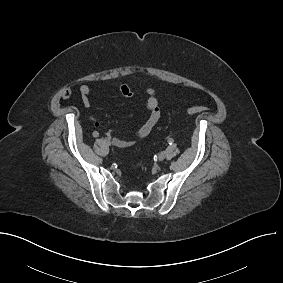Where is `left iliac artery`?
Listing matches in <instances>:
<instances>
[{
    "label": "left iliac artery",
    "mask_w": 283,
    "mask_h": 283,
    "mask_svg": "<svg viewBox=\"0 0 283 283\" xmlns=\"http://www.w3.org/2000/svg\"><path fill=\"white\" fill-rule=\"evenodd\" d=\"M173 142H174V140L172 139V138H169L168 139V143L171 145V144H173Z\"/></svg>",
    "instance_id": "44dca946"
}]
</instances>
